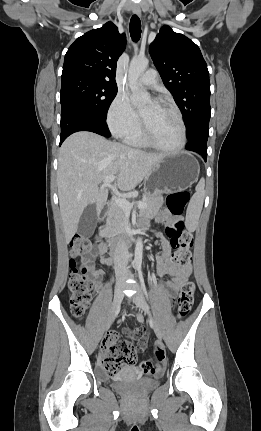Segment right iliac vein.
<instances>
[{
  "label": "right iliac vein",
  "instance_id": "63e3f726",
  "mask_svg": "<svg viewBox=\"0 0 261 431\" xmlns=\"http://www.w3.org/2000/svg\"><path fill=\"white\" fill-rule=\"evenodd\" d=\"M122 289H123V277L119 278L116 282L115 286V292H114V300L112 303V307L110 310V314L106 323V330H108L116 317L119 307L121 305L123 295H122Z\"/></svg>",
  "mask_w": 261,
  "mask_h": 431
}]
</instances>
